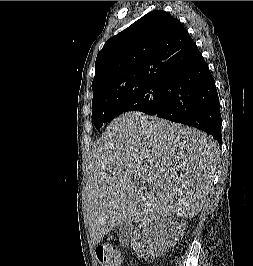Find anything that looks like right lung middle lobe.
I'll return each instance as SVG.
<instances>
[{
    "mask_svg": "<svg viewBox=\"0 0 253 266\" xmlns=\"http://www.w3.org/2000/svg\"><path fill=\"white\" fill-rule=\"evenodd\" d=\"M164 88V81L151 82L92 104L94 126L100 129L104 123L110 122L122 112L140 111L149 114L159 109Z\"/></svg>",
    "mask_w": 253,
    "mask_h": 266,
    "instance_id": "dd1d6c3e",
    "label": "right lung middle lobe"
}]
</instances>
